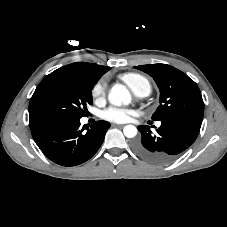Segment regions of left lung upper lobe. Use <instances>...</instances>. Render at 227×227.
<instances>
[{"label": "left lung upper lobe", "instance_id": "obj_1", "mask_svg": "<svg viewBox=\"0 0 227 227\" xmlns=\"http://www.w3.org/2000/svg\"><path fill=\"white\" fill-rule=\"evenodd\" d=\"M149 74L160 90V105L153 120L171 117L203 119L204 103L197 84L182 71L167 64L135 66Z\"/></svg>", "mask_w": 227, "mask_h": 227}]
</instances>
